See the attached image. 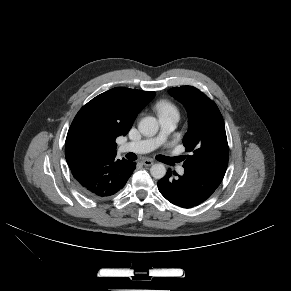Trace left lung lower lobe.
Listing matches in <instances>:
<instances>
[{
	"label": "left lung lower lobe",
	"instance_id": "0a47b994",
	"mask_svg": "<svg viewBox=\"0 0 291 291\" xmlns=\"http://www.w3.org/2000/svg\"><path fill=\"white\" fill-rule=\"evenodd\" d=\"M183 167L182 176L169 169L158 182L160 193L172 204L183 208L194 207L207 200L223 179L193 167Z\"/></svg>",
	"mask_w": 291,
	"mask_h": 291
}]
</instances>
